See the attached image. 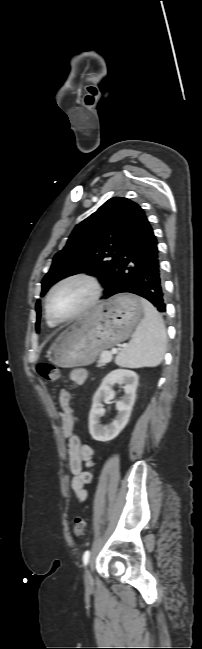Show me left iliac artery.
Masks as SVG:
<instances>
[{
  "label": "left iliac artery",
  "instance_id": "obj_1",
  "mask_svg": "<svg viewBox=\"0 0 202 649\" xmlns=\"http://www.w3.org/2000/svg\"><path fill=\"white\" fill-rule=\"evenodd\" d=\"M89 558H90V551L87 550L83 554V563H84V565L88 564Z\"/></svg>",
  "mask_w": 202,
  "mask_h": 649
}]
</instances>
